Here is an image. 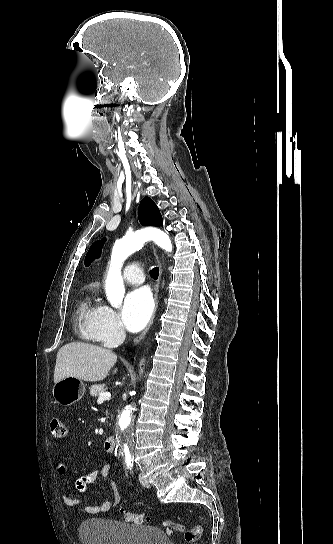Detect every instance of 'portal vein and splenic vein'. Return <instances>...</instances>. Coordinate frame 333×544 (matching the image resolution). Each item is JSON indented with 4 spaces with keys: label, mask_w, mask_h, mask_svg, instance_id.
<instances>
[{
    "label": "portal vein and splenic vein",
    "mask_w": 333,
    "mask_h": 544,
    "mask_svg": "<svg viewBox=\"0 0 333 544\" xmlns=\"http://www.w3.org/2000/svg\"><path fill=\"white\" fill-rule=\"evenodd\" d=\"M111 397V393L110 392H104L102 394H100L99 398H98V402H101V401H104V400H108L110 399Z\"/></svg>",
    "instance_id": "portal-vein-and-splenic-vein-1"
}]
</instances>
